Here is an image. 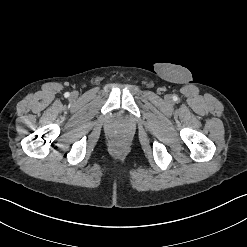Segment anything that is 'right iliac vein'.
I'll use <instances>...</instances> for the list:
<instances>
[{
    "mask_svg": "<svg viewBox=\"0 0 247 247\" xmlns=\"http://www.w3.org/2000/svg\"><path fill=\"white\" fill-rule=\"evenodd\" d=\"M77 96V93H72V97H76Z\"/></svg>",
    "mask_w": 247,
    "mask_h": 247,
    "instance_id": "right-iliac-vein-1",
    "label": "right iliac vein"
}]
</instances>
